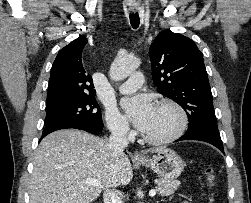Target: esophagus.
<instances>
[{"instance_id":"1","label":"esophagus","mask_w":251,"mask_h":203,"mask_svg":"<svg viewBox=\"0 0 251 203\" xmlns=\"http://www.w3.org/2000/svg\"><path fill=\"white\" fill-rule=\"evenodd\" d=\"M133 11H135V10L133 9ZM134 158H135V159H141V158H143V155H142L141 153H139V152H136V153L134 154Z\"/></svg>"}]
</instances>
